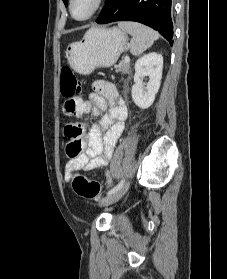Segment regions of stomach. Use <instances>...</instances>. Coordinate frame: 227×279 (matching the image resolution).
I'll list each match as a JSON object with an SVG mask.
<instances>
[{"label":"stomach","instance_id":"1","mask_svg":"<svg viewBox=\"0 0 227 279\" xmlns=\"http://www.w3.org/2000/svg\"><path fill=\"white\" fill-rule=\"evenodd\" d=\"M127 44V35L117 27L91 28L81 41L67 45L65 57L77 73L88 75L96 68L111 67Z\"/></svg>","mask_w":227,"mask_h":279}]
</instances>
